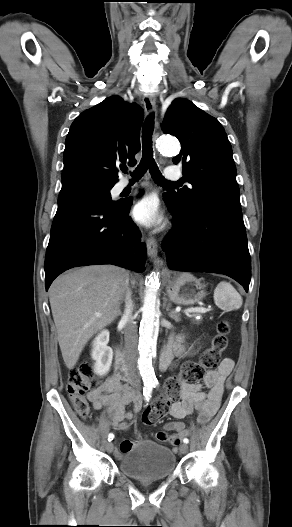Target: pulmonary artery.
<instances>
[{
	"label": "pulmonary artery",
	"mask_w": 292,
	"mask_h": 527,
	"mask_svg": "<svg viewBox=\"0 0 292 527\" xmlns=\"http://www.w3.org/2000/svg\"><path fill=\"white\" fill-rule=\"evenodd\" d=\"M165 179L167 180H178L181 177V173L178 168L174 166H169L164 171ZM128 187V182L123 180L118 184V190H123Z\"/></svg>",
	"instance_id": "pulmonary-artery-1"
}]
</instances>
